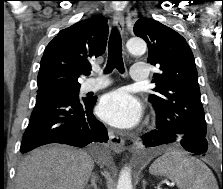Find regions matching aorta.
Returning <instances> with one entry per match:
<instances>
[{"label": "aorta", "instance_id": "762f6f07", "mask_svg": "<svg viewBox=\"0 0 223 189\" xmlns=\"http://www.w3.org/2000/svg\"><path fill=\"white\" fill-rule=\"evenodd\" d=\"M126 47L133 55H142L147 49L145 41L138 37L129 39L126 43ZM116 189H133L129 168L125 167L121 170Z\"/></svg>", "mask_w": 223, "mask_h": 189}]
</instances>
